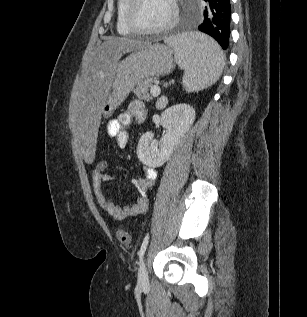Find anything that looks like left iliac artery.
Instances as JSON below:
<instances>
[{
	"label": "left iliac artery",
	"mask_w": 307,
	"mask_h": 317,
	"mask_svg": "<svg viewBox=\"0 0 307 317\" xmlns=\"http://www.w3.org/2000/svg\"><path fill=\"white\" fill-rule=\"evenodd\" d=\"M148 242H149V233H147V235L145 236L143 243L141 245V248L138 252V255L140 258H142V256L144 255L146 248H147V245H148Z\"/></svg>",
	"instance_id": "obj_1"
}]
</instances>
